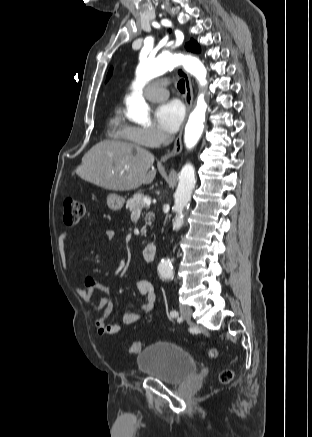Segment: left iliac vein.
I'll use <instances>...</instances> for the list:
<instances>
[{"mask_svg": "<svg viewBox=\"0 0 312 437\" xmlns=\"http://www.w3.org/2000/svg\"><path fill=\"white\" fill-rule=\"evenodd\" d=\"M180 314L181 317L185 320L190 321L192 319V309L189 306L181 305L180 306Z\"/></svg>", "mask_w": 312, "mask_h": 437, "instance_id": "1", "label": "left iliac vein"}]
</instances>
